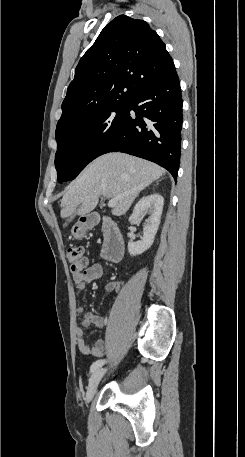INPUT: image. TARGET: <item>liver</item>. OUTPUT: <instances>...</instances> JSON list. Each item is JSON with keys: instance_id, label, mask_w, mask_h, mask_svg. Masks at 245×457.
<instances>
[{"instance_id": "obj_1", "label": "liver", "mask_w": 245, "mask_h": 457, "mask_svg": "<svg viewBox=\"0 0 245 457\" xmlns=\"http://www.w3.org/2000/svg\"><path fill=\"white\" fill-rule=\"evenodd\" d=\"M154 162L124 152H108L90 162L75 178L61 200L62 218L74 212L85 216L98 204L100 194L118 198L112 214L120 216L130 208L140 190L165 174ZM81 204L80 208H77ZM66 226V222L64 224Z\"/></svg>"}]
</instances>
